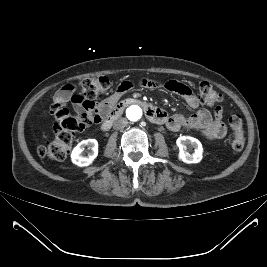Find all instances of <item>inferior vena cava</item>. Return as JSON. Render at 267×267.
I'll return each mask as SVG.
<instances>
[{"label":"inferior vena cava","instance_id":"obj_1","mask_svg":"<svg viewBox=\"0 0 267 267\" xmlns=\"http://www.w3.org/2000/svg\"><path fill=\"white\" fill-rule=\"evenodd\" d=\"M127 125V120L125 118H118L113 123V128L115 130L123 129Z\"/></svg>","mask_w":267,"mask_h":267}]
</instances>
